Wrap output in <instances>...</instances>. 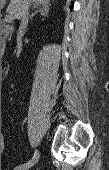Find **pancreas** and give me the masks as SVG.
I'll return each mask as SVG.
<instances>
[{"label":"pancreas","mask_w":109,"mask_h":170,"mask_svg":"<svg viewBox=\"0 0 109 170\" xmlns=\"http://www.w3.org/2000/svg\"><path fill=\"white\" fill-rule=\"evenodd\" d=\"M2 46H3V47L5 46V42H4V39H2Z\"/></svg>","instance_id":"cf45deb5"}]
</instances>
